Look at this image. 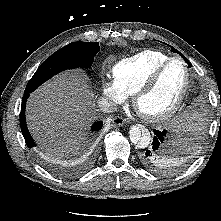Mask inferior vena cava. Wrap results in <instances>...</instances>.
I'll return each mask as SVG.
<instances>
[{"label":"inferior vena cava","mask_w":221,"mask_h":221,"mask_svg":"<svg viewBox=\"0 0 221 221\" xmlns=\"http://www.w3.org/2000/svg\"><path fill=\"white\" fill-rule=\"evenodd\" d=\"M98 107L104 113H110L116 110V105L114 102L107 99H101L98 101Z\"/></svg>","instance_id":"obj_1"}]
</instances>
